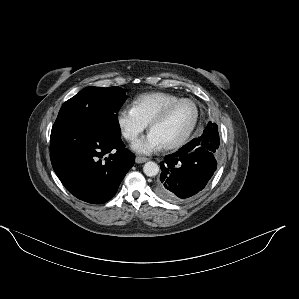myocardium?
<instances>
[{
  "mask_svg": "<svg viewBox=\"0 0 299 299\" xmlns=\"http://www.w3.org/2000/svg\"><path fill=\"white\" fill-rule=\"evenodd\" d=\"M184 102L191 103L194 106L195 116H194L193 122H192L191 126L189 127V129L179 139H177L176 141H174L168 145L163 146L164 150L177 149V148L181 147L183 144H185L186 141L190 138V136L194 132V130L198 124L199 118H200V107H199L198 103L191 98H180L174 102L167 104L149 123V130L151 131L153 129V127H155L159 123L163 122L174 108H176L178 105H180L181 103H184Z\"/></svg>",
  "mask_w": 299,
  "mask_h": 299,
  "instance_id": "f54148a6",
  "label": "myocardium"
}]
</instances>
